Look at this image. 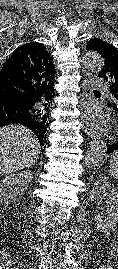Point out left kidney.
<instances>
[{
    "label": "left kidney",
    "instance_id": "left-kidney-1",
    "mask_svg": "<svg viewBox=\"0 0 118 269\" xmlns=\"http://www.w3.org/2000/svg\"><path fill=\"white\" fill-rule=\"evenodd\" d=\"M90 200L97 201L94 212L96 228L102 232L112 230L118 221V188L111 184L106 177H100L90 191ZM106 199L104 208L99 207ZM99 210H102L99 212Z\"/></svg>",
    "mask_w": 118,
    "mask_h": 269
}]
</instances>
